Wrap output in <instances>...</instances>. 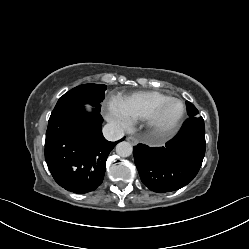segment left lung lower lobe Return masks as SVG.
<instances>
[{"mask_svg":"<svg viewBox=\"0 0 249 249\" xmlns=\"http://www.w3.org/2000/svg\"><path fill=\"white\" fill-rule=\"evenodd\" d=\"M205 126L202 117H189L178 134L163 147L138 144L133 147L142 182L152 191H175L197 175L205 155Z\"/></svg>","mask_w":249,"mask_h":249,"instance_id":"1","label":"left lung lower lobe"}]
</instances>
